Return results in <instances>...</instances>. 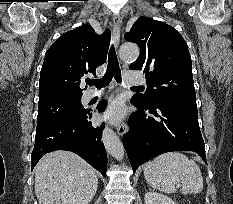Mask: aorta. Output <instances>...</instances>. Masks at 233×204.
<instances>
[{
	"instance_id": "762f6f07",
	"label": "aorta",
	"mask_w": 233,
	"mask_h": 204,
	"mask_svg": "<svg viewBox=\"0 0 233 204\" xmlns=\"http://www.w3.org/2000/svg\"><path fill=\"white\" fill-rule=\"evenodd\" d=\"M120 57L126 61H134L139 56V48L135 44H123L119 51ZM102 141L106 150L117 160H122L124 157V147L116 135L109 127H106L102 134Z\"/></svg>"
}]
</instances>
